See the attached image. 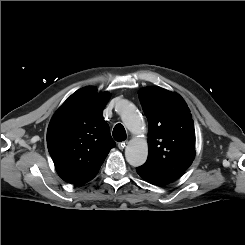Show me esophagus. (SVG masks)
I'll list each match as a JSON object with an SVG mask.
<instances>
[{"label": "esophagus", "mask_w": 245, "mask_h": 245, "mask_svg": "<svg viewBox=\"0 0 245 245\" xmlns=\"http://www.w3.org/2000/svg\"><path fill=\"white\" fill-rule=\"evenodd\" d=\"M127 144H128L127 141L120 142V143H118V148L120 150H123L127 146Z\"/></svg>", "instance_id": "34e87169"}]
</instances>
